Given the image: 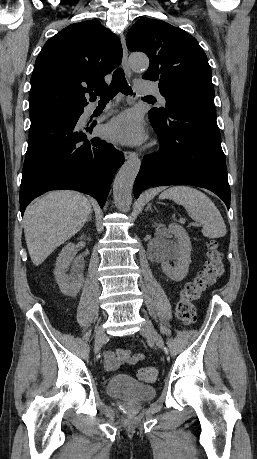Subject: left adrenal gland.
Segmentation results:
<instances>
[{"label":"left adrenal gland","instance_id":"left-adrenal-gland-1","mask_svg":"<svg viewBox=\"0 0 257 459\" xmlns=\"http://www.w3.org/2000/svg\"><path fill=\"white\" fill-rule=\"evenodd\" d=\"M151 209H152L151 204H148L147 207L145 208V211L151 210Z\"/></svg>","mask_w":257,"mask_h":459}]
</instances>
